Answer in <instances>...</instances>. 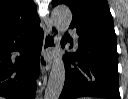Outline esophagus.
<instances>
[{
  "instance_id": "34e87169",
  "label": "esophagus",
  "mask_w": 128,
  "mask_h": 99,
  "mask_svg": "<svg viewBox=\"0 0 128 99\" xmlns=\"http://www.w3.org/2000/svg\"><path fill=\"white\" fill-rule=\"evenodd\" d=\"M57 48V27L50 21L45 30L44 42L42 46L41 59H40V68L42 74H45L48 71L53 62V52Z\"/></svg>"
}]
</instances>
